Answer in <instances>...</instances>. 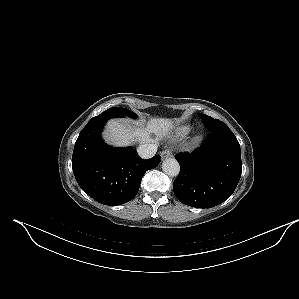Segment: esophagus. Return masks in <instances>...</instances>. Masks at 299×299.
I'll return each mask as SVG.
<instances>
[{"mask_svg":"<svg viewBox=\"0 0 299 299\" xmlns=\"http://www.w3.org/2000/svg\"><path fill=\"white\" fill-rule=\"evenodd\" d=\"M172 156V151L170 149H165L164 151H162L161 153V158L162 159H166Z\"/></svg>","mask_w":299,"mask_h":299,"instance_id":"1","label":"esophagus"}]
</instances>
